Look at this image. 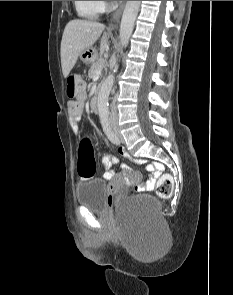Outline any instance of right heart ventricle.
Listing matches in <instances>:
<instances>
[{"instance_id":"obj_1","label":"right heart ventricle","mask_w":233,"mask_h":295,"mask_svg":"<svg viewBox=\"0 0 233 295\" xmlns=\"http://www.w3.org/2000/svg\"><path fill=\"white\" fill-rule=\"evenodd\" d=\"M77 14L82 18L95 19L102 12L100 1H74Z\"/></svg>"}]
</instances>
